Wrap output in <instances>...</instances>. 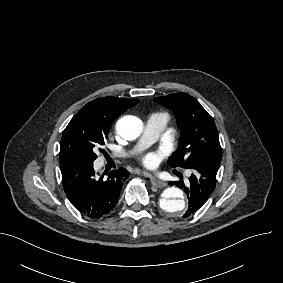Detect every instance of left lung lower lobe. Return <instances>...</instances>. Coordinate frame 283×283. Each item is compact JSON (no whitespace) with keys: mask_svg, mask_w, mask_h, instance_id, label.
Wrapping results in <instances>:
<instances>
[{"mask_svg":"<svg viewBox=\"0 0 283 283\" xmlns=\"http://www.w3.org/2000/svg\"><path fill=\"white\" fill-rule=\"evenodd\" d=\"M221 160L204 159L194 163L190 168L193 174L189 178L190 186L185 188L189 199V205L184 218L194 214L205 204L216 186V174ZM184 187L183 185H181Z\"/></svg>","mask_w":283,"mask_h":283,"instance_id":"obj_1","label":"left lung lower lobe"}]
</instances>
